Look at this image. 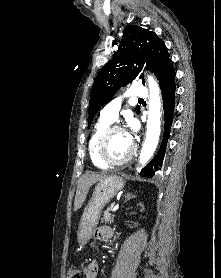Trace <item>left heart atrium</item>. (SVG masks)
Listing matches in <instances>:
<instances>
[{
	"mask_svg": "<svg viewBox=\"0 0 221 278\" xmlns=\"http://www.w3.org/2000/svg\"><path fill=\"white\" fill-rule=\"evenodd\" d=\"M135 131H136V127H135V125L132 124L130 132H127V135H128V138L130 139V141H132Z\"/></svg>",
	"mask_w": 221,
	"mask_h": 278,
	"instance_id": "1",
	"label": "left heart atrium"
}]
</instances>
